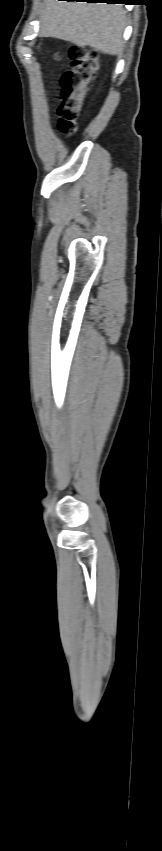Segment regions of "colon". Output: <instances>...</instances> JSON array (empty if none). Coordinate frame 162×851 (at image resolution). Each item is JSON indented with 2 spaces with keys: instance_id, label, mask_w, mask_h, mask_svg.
Segmentation results:
<instances>
[{
  "instance_id": "obj_1",
  "label": "colon",
  "mask_w": 162,
  "mask_h": 851,
  "mask_svg": "<svg viewBox=\"0 0 162 851\" xmlns=\"http://www.w3.org/2000/svg\"><path fill=\"white\" fill-rule=\"evenodd\" d=\"M56 60L60 55L55 54ZM71 65L61 78L62 102L58 107V126L61 131L73 134L82 102L90 82L98 69V54L94 49L73 46L69 49Z\"/></svg>"
}]
</instances>
